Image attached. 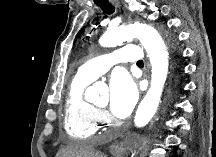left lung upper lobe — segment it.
<instances>
[{
  "label": "left lung upper lobe",
  "instance_id": "obj_1",
  "mask_svg": "<svg viewBox=\"0 0 216 157\" xmlns=\"http://www.w3.org/2000/svg\"><path fill=\"white\" fill-rule=\"evenodd\" d=\"M170 45H171V49H172L173 53H174V51H176L177 53H179L178 50H177V48H176V46H175V42H174V38L173 37L170 38Z\"/></svg>",
  "mask_w": 216,
  "mask_h": 157
}]
</instances>
